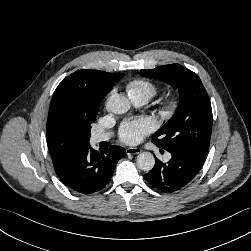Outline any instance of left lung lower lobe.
I'll return each instance as SVG.
<instances>
[{
  "label": "left lung lower lobe",
  "mask_w": 251,
  "mask_h": 251,
  "mask_svg": "<svg viewBox=\"0 0 251 251\" xmlns=\"http://www.w3.org/2000/svg\"><path fill=\"white\" fill-rule=\"evenodd\" d=\"M172 157L167 163L160 160L144 178L162 192H175L187 186L202 168L205 158L188 150L168 151Z\"/></svg>",
  "instance_id": "1"
}]
</instances>
